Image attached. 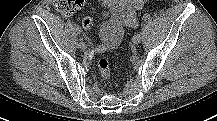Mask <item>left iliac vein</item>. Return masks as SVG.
<instances>
[{
  "label": "left iliac vein",
  "instance_id": "4c4485c4",
  "mask_svg": "<svg viewBox=\"0 0 217 121\" xmlns=\"http://www.w3.org/2000/svg\"><path fill=\"white\" fill-rule=\"evenodd\" d=\"M141 40H142V36H141L140 33H136L132 37V43L135 44V45L139 44L141 42Z\"/></svg>",
  "mask_w": 217,
  "mask_h": 121
}]
</instances>
